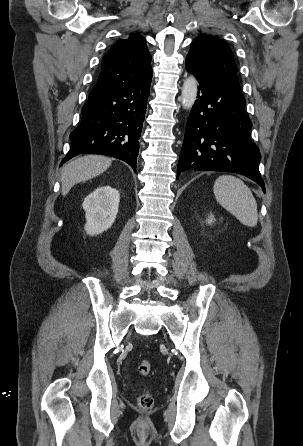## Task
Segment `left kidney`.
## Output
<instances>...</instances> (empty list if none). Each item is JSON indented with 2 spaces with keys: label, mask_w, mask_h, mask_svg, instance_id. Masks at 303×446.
Segmentation results:
<instances>
[{
  "label": "left kidney",
  "mask_w": 303,
  "mask_h": 446,
  "mask_svg": "<svg viewBox=\"0 0 303 446\" xmlns=\"http://www.w3.org/2000/svg\"><path fill=\"white\" fill-rule=\"evenodd\" d=\"M214 216H212V214L209 216V218L207 219L208 224H211L214 221Z\"/></svg>",
  "instance_id": "left-kidney-1"
}]
</instances>
